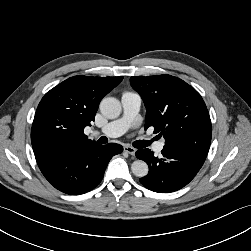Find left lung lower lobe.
Masks as SVG:
<instances>
[{
	"label": "left lung lower lobe",
	"mask_w": 251,
	"mask_h": 251,
	"mask_svg": "<svg viewBox=\"0 0 251 251\" xmlns=\"http://www.w3.org/2000/svg\"><path fill=\"white\" fill-rule=\"evenodd\" d=\"M207 154L192 148L164 146L162 156L157 158L150 149H140L136 157L145 161L149 173L140 179L148 189L169 193L186 186L202 167Z\"/></svg>",
	"instance_id": "0a47b994"
}]
</instances>
